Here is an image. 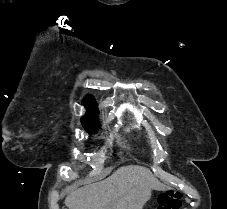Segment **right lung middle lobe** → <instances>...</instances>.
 I'll return each instance as SVG.
<instances>
[{"label":"right lung middle lobe","mask_w":227,"mask_h":209,"mask_svg":"<svg viewBox=\"0 0 227 209\" xmlns=\"http://www.w3.org/2000/svg\"><path fill=\"white\" fill-rule=\"evenodd\" d=\"M81 123L84 127V129L88 132V133H96L98 131L99 128V124L96 120V118H86V119H82Z\"/></svg>","instance_id":"dd1d6c3e"}]
</instances>
